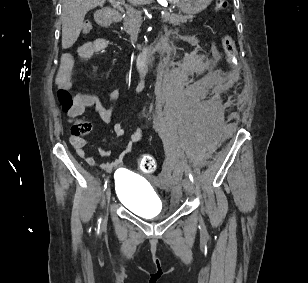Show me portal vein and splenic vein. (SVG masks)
<instances>
[{"instance_id": "portal-vein-and-splenic-vein-1", "label": "portal vein and splenic vein", "mask_w": 308, "mask_h": 283, "mask_svg": "<svg viewBox=\"0 0 308 283\" xmlns=\"http://www.w3.org/2000/svg\"><path fill=\"white\" fill-rule=\"evenodd\" d=\"M110 2H115V0H109ZM117 4H119V5H123V6H125L127 9H130V10H132V8H130V7H128L127 5H125V2H124V0H119L118 2H116ZM132 11H134V10H132ZM162 13V15H165V14H168L167 12H161Z\"/></svg>"}]
</instances>
